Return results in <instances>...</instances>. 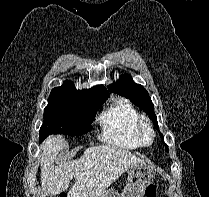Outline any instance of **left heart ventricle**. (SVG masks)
<instances>
[{
    "mask_svg": "<svg viewBox=\"0 0 209 197\" xmlns=\"http://www.w3.org/2000/svg\"><path fill=\"white\" fill-rule=\"evenodd\" d=\"M148 137H149L148 134H146V138H147V139H148Z\"/></svg>",
    "mask_w": 209,
    "mask_h": 197,
    "instance_id": "b2bd125f",
    "label": "left heart ventricle"
}]
</instances>
